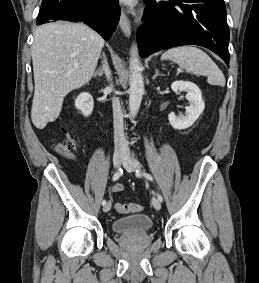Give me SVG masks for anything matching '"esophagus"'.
Segmentation results:
<instances>
[{"instance_id":"obj_1","label":"esophagus","mask_w":259,"mask_h":283,"mask_svg":"<svg viewBox=\"0 0 259 283\" xmlns=\"http://www.w3.org/2000/svg\"><path fill=\"white\" fill-rule=\"evenodd\" d=\"M119 26L121 28V30L123 31V33L126 36H130L131 34V26H130V21L128 16L126 15L125 11L122 10L121 12V16H120V21H119Z\"/></svg>"}]
</instances>
